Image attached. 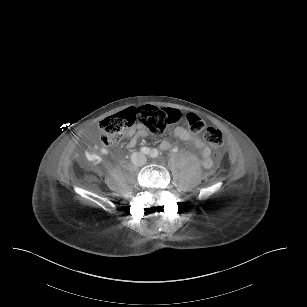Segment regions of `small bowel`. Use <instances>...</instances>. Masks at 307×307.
Segmentation results:
<instances>
[{
    "mask_svg": "<svg viewBox=\"0 0 307 307\" xmlns=\"http://www.w3.org/2000/svg\"><path fill=\"white\" fill-rule=\"evenodd\" d=\"M145 108V107H143ZM128 135L133 136V139L128 143L127 147L131 148L135 145L136 141L140 137L147 135V131L143 127H136L128 132ZM174 135L184 141L193 144L196 148L201 150V156L203 163L206 167L211 166V149L206 145L203 139L196 133H193L185 128L178 127L174 130ZM161 149L167 150L170 147L168 141H162L160 144ZM107 153V149L100 146L89 147L85 151V157L92 163H99L102 159V155Z\"/></svg>",
    "mask_w": 307,
    "mask_h": 307,
    "instance_id": "small-bowel-1",
    "label": "small bowel"
}]
</instances>
